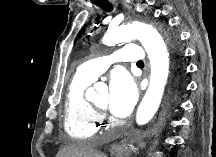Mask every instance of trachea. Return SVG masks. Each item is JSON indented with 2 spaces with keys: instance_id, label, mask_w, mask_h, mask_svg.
Here are the masks:
<instances>
[{
  "instance_id": "3493384b",
  "label": "trachea",
  "mask_w": 216,
  "mask_h": 157,
  "mask_svg": "<svg viewBox=\"0 0 216 157\" xmlns=\"http://www.w3.org/2000/svg\"><path fill=\"white\" fill-rule=\"evenodd\" d=\"M96 5L99 6L100 8H102L106 12H111L113 10L112 4L107 0L102 1V2H98V3H96ZM137 64L138 65L143 64V61H138Z\"/></svg>"
}]
</instances>
